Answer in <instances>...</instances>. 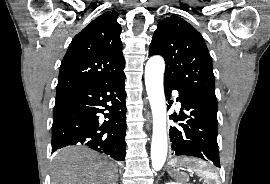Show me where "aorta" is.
<instances>
[{"instance_id": "1", "label": "aorta", "mask_w": 270, "mask_h": 184, "mask_svg": "<svg viewBox=\"0 0 270 184\" xmlns=\"http://www.w3.org/2000/svg\"><path fill=\"white\" fill-rule=\"evenodd\" d=\"M165 62L161 56L151 57L145 66V84L153 116L151 163L155 171L162 169L167 157L166 103L163 88Z\"/></svg>"}]
</instances>
